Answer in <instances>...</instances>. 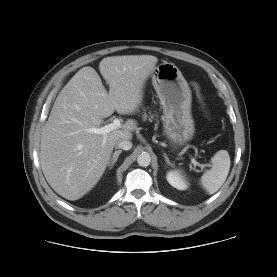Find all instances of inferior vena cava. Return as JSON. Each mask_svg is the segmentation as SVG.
<instances>
[{"label": "inferior vena cava", "instance_id": "602c4592", "mask_svg": "<svg viewBox=\"0 0 277 277\" xmlns=\"http://www.w3.org/2000/svg\"><path fill=\"white\" fill-rule=\"evenodd\" d=\"M115 147L123 150H130L132 148V143L129 140L123 139L116 142Z\"/></svg>", "mask_w": 277, "mask_h": 277}]
</instances>
